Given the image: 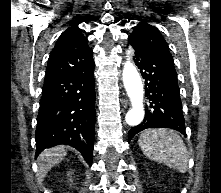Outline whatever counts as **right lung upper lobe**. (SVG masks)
<instances>
[{
    "label": "right lung upper lobe",
    "mask_w": 221,
    "mask_h": 193,
    "mask_svg": "<svg viewBox=\"0 0 221 193\" xmlns=\"http://www.w3.org/2000/svg\"><path fill=\"white\" fill-rule=\"evenodd\" d=\"M79 23H72L58 38L49 56L45 80L81 71L93 62V51L78 28Z\"/></svg>",
    "instance_id": "obj_1"
}]
</instances>
